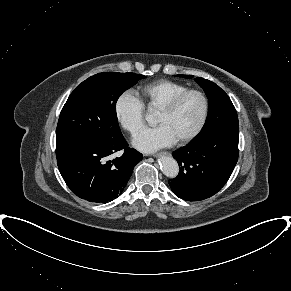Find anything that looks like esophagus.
<instances>
[{"mask_svg": "<svg viewBox=\"0 0 291 291\" xmlns=\"http://www.w3.org/2000/svg\"><path fill=\"white\" fill-rule=\"evenodd\" d=\"M163 155H165V156H169V155H171V153L168 152V151H164V152H161V153L157 154V157H159V156H163Z\"/></svg>", "mask_w": 291, "mask_h": 291, "instance_id": "esophagus-1", "label": "esophagus"}]
</instances>
